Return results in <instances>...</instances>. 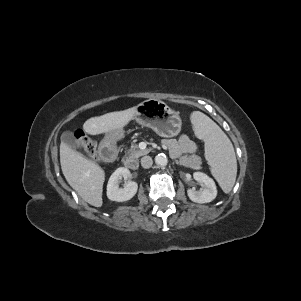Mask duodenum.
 <instances>
[{
    "mask_svg": "<svg viewBox=\"0 0 301 301\" xmlns=\"http://www.w3.org/2000/svg\"><path fill=\"white\" fill-rule=\"evenodd\" d=\"M98 150V157L102 162L109 163L110 165H117L120 162V155L117 153V147L114 141L105 140L100 144ZM125 167L134 170L137 168V163L132 159L125 161Z\"/></svg>",
    "mask_w": 301,
    "mask_h": 301,
    "instance_id": "obj_1",
    "label": "duodenum"
}]
</instances>
